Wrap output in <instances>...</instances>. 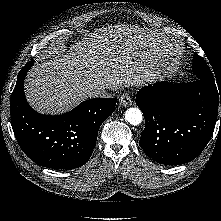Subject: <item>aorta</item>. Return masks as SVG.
I'll use <instances>...</instances> for the list:
<instances>
[{
  "mask_svg": "<svg viewBox=\"0 0 221 221\" xmlns=\"http://www.w3.org/2000/svg\"><path fill=\"white\" fill-rule=\"evenodd\" d=\"M125 119L129 124L137 126L142 122V112L135 107L128 108L125 112Z\"/></svg>",
  "mask_w": 221,
  "mask_h": 221,
  "instance_id": "aorta-1",
  "label": "aorta"
}]
</instances>
